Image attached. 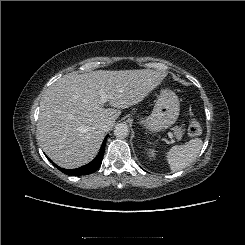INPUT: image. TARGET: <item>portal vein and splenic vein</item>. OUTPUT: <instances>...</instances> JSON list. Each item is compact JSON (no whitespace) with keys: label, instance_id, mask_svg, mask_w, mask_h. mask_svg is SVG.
<instances>
[{"label":"portal vein and splenic vein","instance_id":"18ae733b","mask_svg":"<svg viewBox=\"0 0 245 245\" xmlns=\"http://www.w3.org/2000/svg\"><path fill=\"white\" fill-rule=\"evenodd\" d=\"M98 93H99V95L101 96V99H100V101H99V104H104V103H106L107 100H108L107 94H106L102 89H100V90L98 91ZM167 134H168V137H169L170 139H173V137H174L173 133L168 132Z\"/></svg>","mask_w":245,"mask_h":245}]
</instances>
